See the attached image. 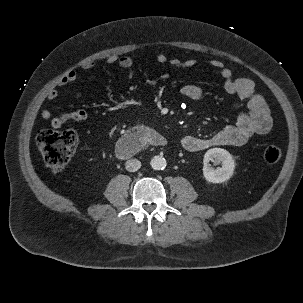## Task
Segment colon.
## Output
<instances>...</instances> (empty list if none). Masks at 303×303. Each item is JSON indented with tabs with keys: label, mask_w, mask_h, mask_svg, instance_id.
<instances>
[{
	"label": "colon",
	"mask_w": 303,
	"mask_h": 303,
	"mask_svg": "<svg viewBox=\"0 0 303 303\" xmlns=\"http://www.w3.org/2000/svg\"><path fill=\"white\" fill-rule=\"evenodd\" d=\"M78 137L73 130L59 131L52 128L40 130L36 144L46 165L55 173L62 171L73 156ZM282 152L275 144L268 145L263 153L266 163L274 164L281 158Z\"/></svg>",
	"instance_id": "5ec220e1"
}]
</instances>
